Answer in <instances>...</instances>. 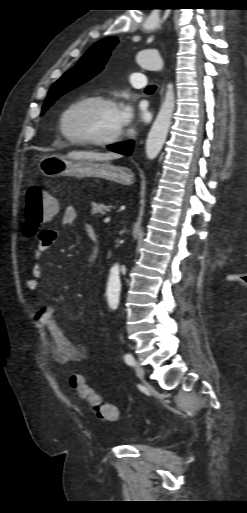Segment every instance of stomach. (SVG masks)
Listing matches in <instances>:
<instances>
[{
  "label": "stomach",
  "mask_w": 247,
  "mask_h": 513,
  "mask_svg": "<svg viewBox=\"0 0 247 513\" xmlns=\"http://www.w3.org/2000/svg\"><path fill=\"white\" fill-rule=\"evenodd\" d=\"M39 170L49 178L60 176L97 177L123 185H131L134 182V174L127 167L93 160H72L60 155L44 156L40 160Z\"/></svg>",
  "instance_id": "obj_1"
}]
</instances>
